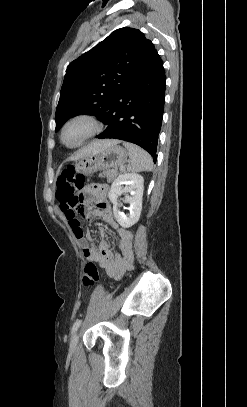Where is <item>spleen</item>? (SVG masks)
<instances>
[{
  "label": "spleen",
  "instance_id": "1",
  "mask_svg": "<svg viewBox=\"0 0 247 407\" xmlns=\"http://www.w3.org/2000/svg\"><path fill=\"white\" fill-rule=\"evenodd\" d=\"M123 145L128 150L130 161L127 170L131 172L151 171L153 162L151 156L139 146L123 142Z\"/></svg>",
  "mask_w": 247,
  "mask_h": 407
}]
</instances>
